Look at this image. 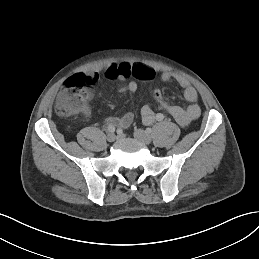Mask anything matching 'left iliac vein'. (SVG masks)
<instances>
[{
  "label": "left iliac vein",
  "instance_id": "obj_1",
  "mask_svg": "<svg viewBox=\"0 0 259 259\" xmlns=\"http://www.w3.org/2000/svg\"><path fill=\"white\" fill-rule=\"evenodd\" d=\"M134 137L136 140H138L139 142L145 145H149L152 142V138L150 134L142 129H136L134 131Z\"/></svg>",
  "mask_w": 259,
  "mask_h": 259
}]
</instances>
